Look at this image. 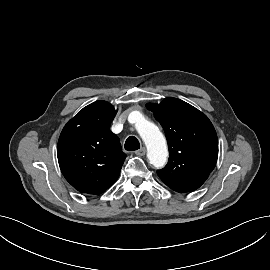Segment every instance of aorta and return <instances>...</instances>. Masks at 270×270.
<instances>
[{
	"instance_id": "obj_1",
	"label": "aorta",
	"mask_w": 270,
	"mask_h": 270,
	"mask_svg": "<svg viewBox=\"0 0 270 270\" xmlns=\"http://www.w3.org/2000/svg\"><path fill=\"white\" fill-rule=\"evenodd\" d=\"M136 116L135 127L147 147V157L150 164L162 168L168 157L166 140L159 128L146 119L140 112H133Z\"/></svg>"
}]
</instances>
